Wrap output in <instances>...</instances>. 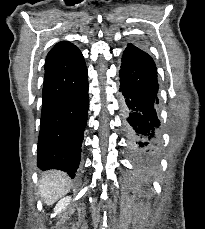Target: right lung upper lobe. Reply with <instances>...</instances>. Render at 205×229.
<instances>
[{
    "label": "right lung upper lobe",
    "instance_id": "cb5924a9",
    "mask_svg": "<svg viewBox=\"0 0 205 229\" xmlns=\"http://www.w3.org/2000/svg\"><path fill=\"white\" fill-rule=\"evenodd\" d=\"M53 49L58 56H62L66 65L70 67L76 66L84 59L80 50L68 41L59 42Z\"/></svg>",
    "mask_w": 205,
    "mask_h": 229
}]
</instances>
